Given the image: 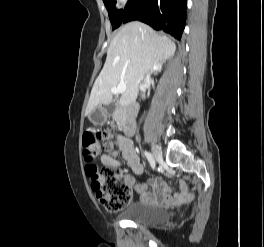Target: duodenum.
Masks as SVG:
<instances>
[{
  "label": "duodenum",
  "instance_id": "1",
  "mask_svg": "<svg viewBox=\"0 0 264 247\" xmlns=\"http://www.w3.org/2000/svg\"><path fill=\"white\" fill-rule=\"evenodd\" d=\"M137 110H138V106L136 104L129 105L126 115L120 121L122 129L126 135L131 136L136 131L135 116Z\"/></svg>",
  "mask_w": 264,
  "mask_h": 247
}]
</instances>
